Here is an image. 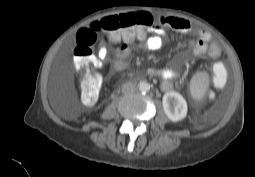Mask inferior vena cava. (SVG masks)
<instances>
[{
  "mask_svg": "<svg viewBox=\"0 0 255 177\" xmlns=\"http://www.w3.org/2000/svg\"><path fill=\"white\" fill-rule=\"evenodd\" d=\"M135 90H136V85L131 82H127L122 85V92L125 94L133 93L135 92Z\"/></svg>",
  "mask_w": 255,
  "mask_h": 177,
  "instance_id": "obj_1",
  "label": "inferior vena cava"
}]
</instances>
